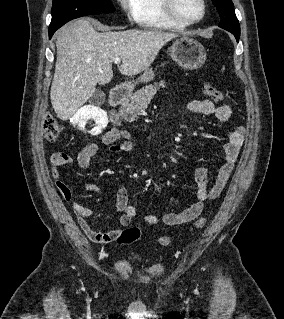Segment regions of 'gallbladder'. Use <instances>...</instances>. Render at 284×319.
I'll list each match as a JSON object with an SVG mask.
<instances>
[{
    "instance_id": "bac80fb5",
    "label": "gallbladder",
    "mask_w": 284,
    "mask_h": 319,
    "mask_svg": "<svg viewBox=\"0 0 284 319\" xmlns=\"http://www.w3.org/2000/svg\"><path fill=\"white\" fill-rule=\"evenodd\" d=\"M105 96V93L101 89H98L89 99V102L92 105H102L105 102Z\"/></svg>"
}]
</instances>
